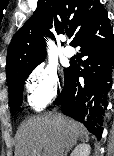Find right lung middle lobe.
I'll list each match as a JSON object with an SVG mask.
<instances>
[{
    "mask_svg": "<svg viewBox=\"0 0 114 156\" xmlns=\"http://www.w3.org/2000/svg\"><path fill=\"white\" fill-rule=\"evenodd\" d=\"M69 68L65 69V76L67 74ZM33 70V69H32ZM32 70L21 73L13 78V80L8 84L9 89V105L12 110H18L21 112V104H22V92H23V84L26 78H28L29 74Z\"/></svg>",
    "mask_w": 114,
    "mask_h": 156,
    "instance_id": "dd1d6c3e",
    "label": "right lung middle lobe"
}]
</instances>
